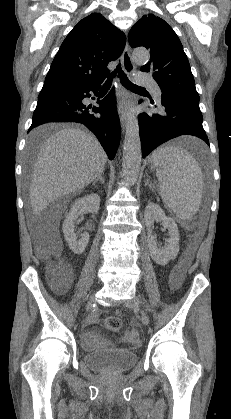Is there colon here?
I'll return each instance as SVG.
<instances>
[{
  "instance_id": "colon-1",
  "label": "colon",
  "mask_w": 231,
  "mask_h": 419,
  "mask_svg": "<svg viewBox=\"0 0 231 419\" xmlns=\"http://www.w3.org/2000/svg\"><path fill=\"white\" fill-rule=\"evenodd\" d=\"M48 272L54 280H63L68 276L67 268L62 262H50ZM104 326L110 331L117 332L122 327V321L117 316H107L104 319Z\"/></svg>"
}]
</instances>
